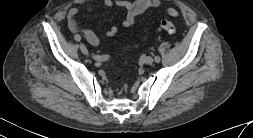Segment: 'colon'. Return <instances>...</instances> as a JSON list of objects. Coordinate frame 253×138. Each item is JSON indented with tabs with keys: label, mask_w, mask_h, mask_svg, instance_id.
Segmentation results:
<instances>
[{
	"label": "colon",
	"mask_w": 253,
	"mask_h": 138,
	"mask_svg": "<svg viewBox=\"0 0 253 138\" xmlns=\"http://www.w3.org/2000/svg\"><path fill=\"white\" fill-rule=\"evenodd\" d=\"M159 27L161 30L165 31L168 34H174L176 31V27L173 22L163 19L160 21ZM124 77L122 74L116 75V81L121 82L123 81Z\"/></svg>",
	"instance_id": "colon-1"
}]
</instances>
